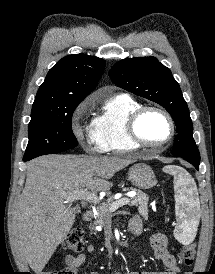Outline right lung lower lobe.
<instances>
[{
  "label": "right lung lower lobe",
  "instance_id": "obj_1",
  "mask_svg": "<svg viewBox=\"0 0 215 274\" xmlns=\"http://www.w3.org/2000/svg\"><path fill=\"white\" fill-rule=\"evenodd\" d=\"M24 161H29L28 159H23Z\"/></svg>",
  "mask_w": 215,
  "mask_h": 274
}]
</instances>
